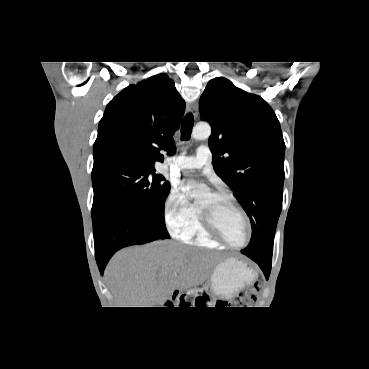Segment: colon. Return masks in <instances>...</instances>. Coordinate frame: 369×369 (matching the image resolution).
I'll list each match as a JSON object with an SVG mask.
<instances>
[{"label":"colon","mask_w":369,"mask_h":369,"mask_svg":"<svg viewBox=\"0 0 369 369\" xmlns=\"http://www.w3.org/2000/svg\"><path fill=\"white\" fill-rule=\"evenodd\" d=\"M261 284L255 283L254 286L248 291L242 292L238 295L237 299L234 301L236 307H250L256 301L258 292L261 290ZM222 305H228V303L220 302Z\"/></svg>","instance_id":"5ec220e1"}]
</instances>
